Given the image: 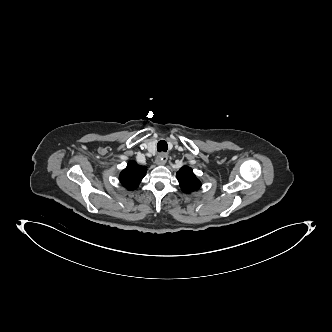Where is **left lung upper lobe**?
<instances>
[{
    "label": "left lung upper lobe",
    "mask_w": 332,
    "mask_h": 332,
    "mask_svg": "<svg viewBox=\"0 0 332 332\" xmlns=\"http://www.w3.org/2000/svg\"><path fill=\"white\" fill-rule=\"evenodd\" d=\"M177 179L183 192L190 193L200 188L201 182L196 178L192 169L188 166L182 167L177 172Z\"/></svg>",
    "instance_id": "obj_1"
}]
</instances>
